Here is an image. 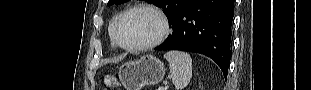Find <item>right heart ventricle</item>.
Listing matches in <instances>:
<instances>
[{
    "instance_id": "right-heart-ventricle-1",
    "label": "right heart ventricle",
    "mask_w": 311,
    "mask_h": 90,
    "mask_svg": "<svg viewBox=\"0 0 311 90\" xmlns=\"http://www.w3.org/2000/svg\"><path fill=\"white\" fill-rule=\"evenodd\" d=\"M119 15H116L112 21L110 22L109 24V28H108V32H109V36H110V41H111V46L114 47L115 46V43H114V40H113V27H114V24H115V21L116 19L118 18Z\"/></svg>"
}]
</instances>
